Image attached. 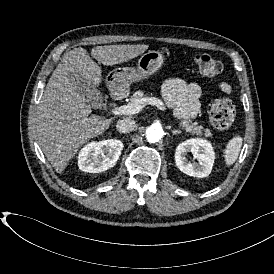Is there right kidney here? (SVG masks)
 <instances>
[{
  "label": "right kidney",
  "mask_w": 274,
  "mask_h": 274,
  "mask_svg": "<svg viewBox=\"0 0 274 274\" xmlns=\"http://www.w3.org/2000/svg\"><path fill=\"white\" fill-rule=\"evenodd\" d=\"M123 147L122 141L118 139L92 141L80 150L78 167L88 173L106 171L116 164Z\"/></svg>",
  "instance_id": "obj_1"
}]
</instances>
